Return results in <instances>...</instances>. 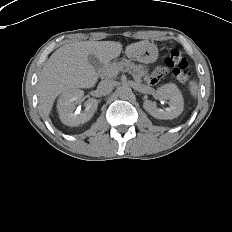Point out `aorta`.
Returning a JSON list of instances; mask_svg holds the SVG:
<instances>
[{"instance_id":"obj_1","label":"aorta","mask_w":232,"mask_h":232,"mask_svg":"<svg viewBox=\"0 0 232 232\" xmlns=\"http://www.w3.org/2000/svg\"><path fill=\"white\" fill-rule=\"evenodd\" d=\"M132 94V89L127 85L121 86L118 90V95L121 99H129Z\"/></svg>"}]
</instances>
